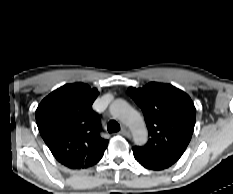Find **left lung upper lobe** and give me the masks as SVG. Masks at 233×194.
Segmentation results:
<instances>
[{"instance_id":"5c2ea615","label":"left lung upper lobe","mask_w":233,"mask_h":194,"mask_svg":"<svg viewBox=\"0 0 233 194\" xmlns=\"http://www.w3.org/2000/svg\"><path fill=\"white\" fill-rule=\"evenodd\" d=\"M143 110L150 139L133 151L155 160L175 163L189 144L195 125L196 109L190 97L178 88L151 82L143 88L128 89Z\"/></svg>"}]
</instances>
